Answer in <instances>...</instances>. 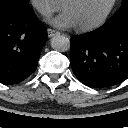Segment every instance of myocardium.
<instances>
[{"label":"myocardium","mask_w":128,"mask_h":128,"mask_svg":"<svg viewBox=\"0 0 128 128\" xmlns=\"http://www.w3.org/2000/svg\"><path fill=\"white\" fill-rule=\"evenodd\" d=\"M72 1H74V0H64L63 8L65 9V7ZM117 1L118 0H111L108 7L105 9V11L102 13V15L97 20H95L92 23L86 24V25H77L78 29L80 31H91V30H94V29L100 27L107 20V18L109 17L111 12L115 8Z\"/></svg>","instance_id":"f54148a6"}]
</instances>
